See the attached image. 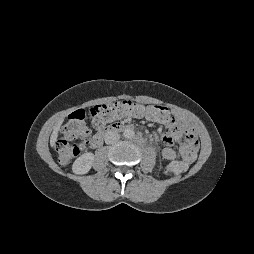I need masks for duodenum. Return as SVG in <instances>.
Segmentation results:
<instances>
[{"mask_svg":"<svg viewBox=\"0 0 254 254\" xmlns=\"http://www.w3.org/2000/svg\"><path fill=\"white\" fill-rule=\"evenodd\" d=\"M133 126L132 125H127L124 123H114L111 126H109L106 129L101 130L100 132H98L92 139H91V146L93 148H97L99 147L102 142L103 139L105 138V136H107L108 134H110L111 132H121V131H128L130 129H132Z\"/></svg>","mask_w":254,"mask_h":254,"instance_id":"410a0bca","label":"duodenum"}]
</instances>
